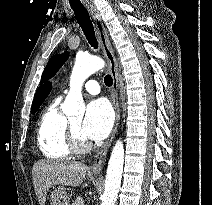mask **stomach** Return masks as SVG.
Masks as SVG:
<instances>
[{"instance_id": "stomach-1", "label": "stomach", "mask_w": 212, "mask_h": 205, "mask_svg": "<svg viewBox=\"0 0 212 205\" xmlns=\"http://www.w3.org/2000/svg\"><path fill=\"white\" fill-rule=\"evenodd\" d=\"M50 205H69V197L65 187L59 186L53 190L50 196Z\"/></svg>"}]
</instances>
